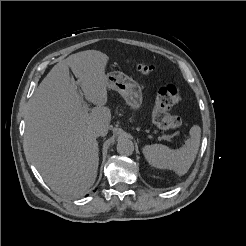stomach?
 <instances>
[{
	"mask_svg": "<svg viewBox=\"0 0 246 246\" xmlns=\"http://www.w3.org/2000/svg\"><path fill=\"white\" fill-rule=\"evenodd\" d=\"M106 77L108 88L117 91L134 111L141 108L143 100L142 90L135 80L117 71L108 73Z\"/></svg>",
	"mask_w": 246,
	"mask_h": 246,
	"instance_id": "0dacf381",
	"label": "stomach"
}]
</instances>
